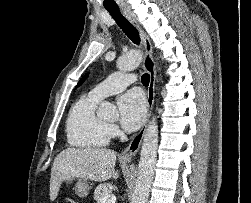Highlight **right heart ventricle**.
<instances>
[{"mask_svg": "<svg viewBox=\"0 0 251 203\" xmlns=\"http://www.w3.org/2000/svg\"><path fill=\"white\" fill-rule=\"evenodd\" d=\"M99 101L88 93L71 108L67 119V138L72 146L95 149L108 144V125L96 114Z\"/></svg>", "mask_w": 251, "mask_h": 203, "instance_id": "obj_1", "label": "right heart ventricle"}]
</instances>
